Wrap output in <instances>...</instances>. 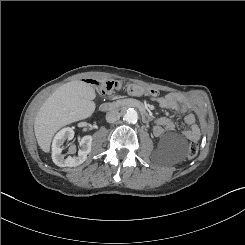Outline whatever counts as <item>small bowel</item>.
Returning <instances> with one entry per match:
<instances>
[{
	"label": "small bowel",
	"mask_w": 245,
	"mask_h": 245,
	"mask_svg": "<svg viewBox=\"0 0 245 245\" xmlns=\"http://www.w3.org/2000/svg\"><path fill=\"white\" fill-rule=\"evenodd\" d=\"M158 105L169 111H177L183 116L184 122L188 125V129L184 132L185 137L190 141H197L201 137L200 128L196 123L195 115L191 112L187 101L176 93H167L164 96L154 98ZM175 128V123L172 119L161 117L156 120L153 127V133L156 137L161 136L167 131Z\"/></svg>",
	"instance_id": "1"
}]
</instances>
